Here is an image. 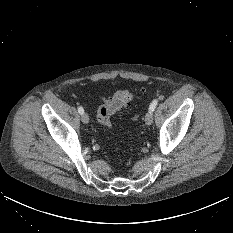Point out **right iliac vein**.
<instances>
[{
    "mask_svg": "<svg viewBox=\"0 0 233 233\" xmlns=\"http://www.w3.org/2000/svg\"><path fill=\"white\" fill-rule=\"evenodd\" d=\"M81 120L84 124H88L89 123V115L87 113H83L81 115Z\"/></svg>",
    "mask_w": 233,
    "mask_h": 233,
    "instance_id": "1",
    "label": "right iliac vein"
}]
</instances>
